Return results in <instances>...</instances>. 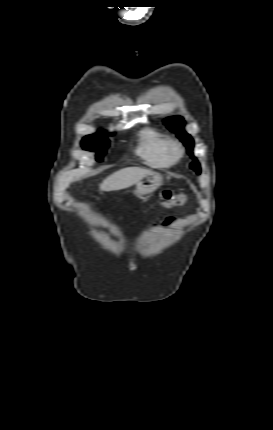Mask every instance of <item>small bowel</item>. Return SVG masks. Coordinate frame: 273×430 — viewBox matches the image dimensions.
<instances>
[{"mask_svg":"<svg viewBox=\"0 0 273 430\" xmlns=\"http://www.w3.org/2000/svg\"><path fill=\"white\" fill-rule=\"evenodd\" d=\"M172 223L171 220H167L165 223H163L164 226L170 225Z\"/></svg>","mask_w":273,"mask_h":430,"instance_id":"obj_1","label":"small bowel"}]
</instances>
